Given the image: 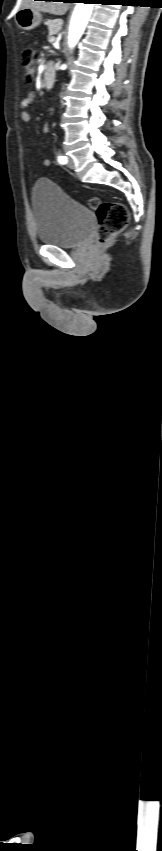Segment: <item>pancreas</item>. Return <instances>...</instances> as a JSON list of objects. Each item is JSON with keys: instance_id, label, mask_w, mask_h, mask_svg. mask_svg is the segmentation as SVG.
Wrapping results in <instances>:
<instances>
[{"instance_id": "obj_1", "label": "pancreas", "mask_w": 162, "mask_h": 851, "mask_svg": "<svg viewBox=\"0 0 162 851\" xmlns=\"http://www.w3.org/2000/svg\"><path fill=\"white\" fill-rule=\"evenodd\" d=\"M46 25L48 26V29H49L48 40L50 41L51 37H53V35L57 34L60 31V29L62 27V21L61 20H49V21L46 22Z\"/></svg>"}]
</instances>
